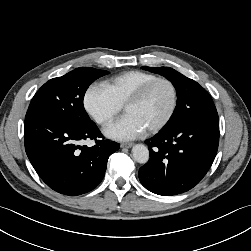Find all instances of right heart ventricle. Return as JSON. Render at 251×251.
Here are the masks:
<instances>
[{
    "mask_svg": "<svg viewBox=\"0 0 251 251\" xmlns=\"http://www.w3.org/2000/svg\"><path fill=\"white\" fill-rule=\"evenodd\" d=\"M156 78L158 76L152 73L130 70L108 79L104 87L119 105L124 106L140 87Z\"/></svg>",
    "mask_w": 251,
    "mask_h": 251,
    "instance_id": "e07e8e85",
    "label": "right heart ventricle"
}]
</instances>
